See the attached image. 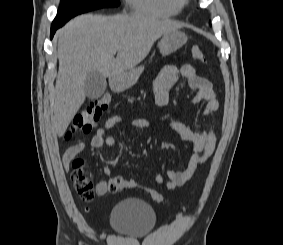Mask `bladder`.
I'll list each match as a JSON object with an SVG mask.
<instances>
[{"label":"bladder","mask_w":283,"mask_h":245,"mask_svg":"<svg viewBox=\"0 0 283 245\" xmlns=\"http://www.w3.org/2000/svg\"><path fill=\"white\" fill-rule=\"evenodd\" d=\"M110 223L116 233L139 238L154 229L157 216L148 203L139 199H125L113 207Z\"/></svg>","instance_id":"obj_1"}]
</instances>
